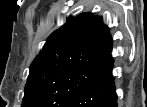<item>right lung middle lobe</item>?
I'll return each instance as SVG.
<instances>
[{
  "mask_svg": "<svg viewBox=\"0 0 147 107\" xmlns=\"http://www.w3.org/2000/svg\"><path fill=\"white\" fill-rule=\"evenodd\" d=\"M99 69L78 68L28 77L21 107H65L96 76Z\"/></svg>",
  "mask_w": 147,
  "mask_h": 107,
  "instance_id": "right-lung-middle-lobe-1",
  "label": "right lung middle lobe"
}]
</instances>
